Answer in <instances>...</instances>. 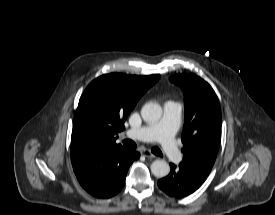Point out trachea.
Wrapping results in <instances>:
<instances>
[{"label":"trachea","instance_id":"obj_1","mask_svg":"<svg viewBox=\"0 0 275 215\" xmlns=\"http://www.w3.org/2000/svg\"><path fill=\"white\" fill-rule=\"evenodd\" d=\"M123 144L126 148L131 149V150H135L136 147H137L136 143L132 140H124ZM151 151L157 156H162L163 155L161 150L158 147H153L151 149Z\"/></svg>","mask_w":275,"mask_h":215}]
</instances>
